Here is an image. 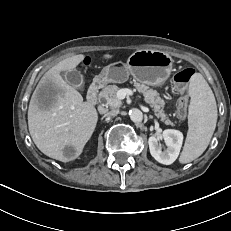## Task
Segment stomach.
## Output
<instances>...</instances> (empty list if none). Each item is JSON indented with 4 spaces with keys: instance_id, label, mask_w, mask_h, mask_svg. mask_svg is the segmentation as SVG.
I'll use <instances>...</instances> for the list:
<instances>
[{
    "instance_id": "1",
    "label": "stomach",
    "mask_w": 231,
    "mask_h": 231,
    "mask_svg": "<svg viewBox=\"0 0 231 231\" xmlns=\"http://www.w3.org/2000/svg\"><path fill=\"white\" fill-rule=\"evenodd\" d=\"M172 57L159 50H138L127 63L116 62L106 66L99 77L109 83H123L131 75L136 81L149 86H160L169 77Z\"/></svg>"
}]
</instances>
